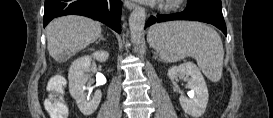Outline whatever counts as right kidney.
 Listing matches in <instances>:
<instances>
[{
	"mask_svg": "<svg viewBox=\"0 0 273 118\" xmlns=\"http://www.w3.org/2000/svg\"><path fill=\"white\" fill-rule=\"evenodd\" d=\"M109 53L105 51H96L92 55L83 56L73 61L68 73L69 91L76 100L79 110L85 115H91L101 101L102 93L97 90L92 98H87L85 94V84L89 77L86 72H90L92 58L99 62H106Z\"/></svg>",
	"mask_w": 273,
	"mask_h": 118,
	"instance_id": "1",
	"label": "right kidney"
}]
</instances>
